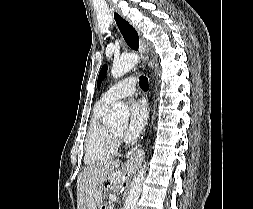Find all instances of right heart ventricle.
<instances>
[{
  "label": "right heart ventricle",
  "mask_w": 253,
  "mask_h": 209,
  "mask_svg": "<svg viewBox=\"0 0 253 209\" xmlns=\"http://www.w3.org/2000/svg\"><path fill=\"white\" fill-rule=\"evenodd\" d=\"M109 104L96 103L85 138V162L94 165L113 158L117 154V142L112 129L104 124L103 118Z\"/></svg>",
  "instance_id": "1"
}]
</instances>
